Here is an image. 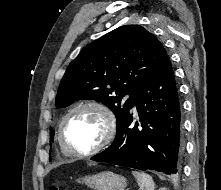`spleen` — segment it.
<instances>
[{"instance_id":"obj_1","label":"spleen","mask_w":221,"mask_h":190,"mask_svg":"<svg viewBox=\"0 0 221 190\" xmlns=\"http://www.w3.org/2000/svg\"><path fill=\"white\" fill-rule=\"evenodd\" d=\"M132 174L136 178L140 190H154L155 184L152 177L144 172L132 171Z\"/></svg>"}]
</instances>
